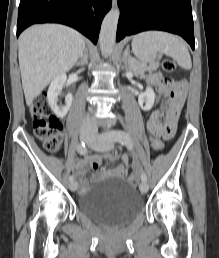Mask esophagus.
Segmentation results:
<instances>
[{
	"instance_id": "34e87169",
	"label": "esophagus",
	"mask_w": 219,
	"mask_h": 258,
	"mask_svg": "<svg viewBox=\"0 0 219 258\" xmlns=\"http://www.w3.org/2000/svg\"><path fill=\"white\" fill-rule=\"evenodd\" d=\"M116 4H117V0H112V5L116 6Z\"/></svg>"
}]
</instances>
